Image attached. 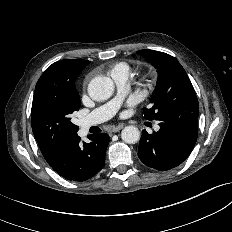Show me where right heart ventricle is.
Returning <instances> with one entry per match:
<instances>
[{
	"label": "right heart ventricle",
	"instance_id": "right-heart-ventricle-1",
	"mask_svg": "<svg viewBox=\"0 0 232 232\" xmlns=\"http://www.w3.org/2000/svg\"><path fill=\"white\" fill-rule=\"evenodd\" d=\"M131 71V66L129 65V63L125 62V61H120V62H116L110 70V74L111 76L117 73H121V72H126V73H130Z\"/></svg>",
	"mask_w": 232,
	"mask_h": 232
}]
</instances>
